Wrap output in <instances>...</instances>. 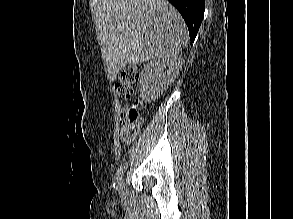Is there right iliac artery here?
<instances>
[{"label": "right iliac artery", "mask_w": 293, "mask_h": 219, "mask_svg": "<svg viewBox=\"0 0 293 219\" xmlns=\"http://www.w3.org/2000/svg\"><path fill=\"white\" fill-rule=\"evenodd\" d=\"M126 168H127V165L124 164L120 167V169L116 173L114 187H116L117 190H119V188H120V182L122 181V177H123V174H124Z\"/></svg>", "instance_id": "obj_1"}]
</instances>
